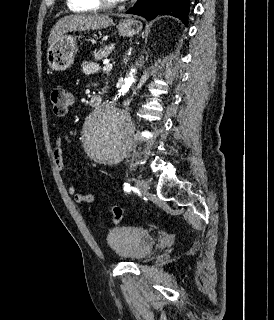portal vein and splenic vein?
I'll return each instance as SVG.
<instances>
[{
  "instance_id": "obj_1",
  "label": "portal vein and splenic vein",
  "mask_w": 274,
  "mask_h": 320,
  "mask_svg": "<svg viewBox=\"0 0 274 320\" xmlns=\"http://www.w3.org/2000/svg\"><path fill=\"white\" fill-rule=\"evenodd\" d=\"M104 66V70H110V68H112L113 64H110V60H104L103 62Z\"/></svg>"
}]
</instances>
